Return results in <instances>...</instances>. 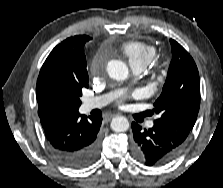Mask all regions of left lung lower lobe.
<instances>
[{"instance_id":"obj_1","label":"left lung lower lobe","mask_w":223,"mask_h":188,"mask_svg":"<svg viewBox=\"0 0 223 188\" xmlns=\"http://www.w3.org/2000/svg\"><path fill=\"white\" fill-rule=\"evenodd\" d=\"M133 154L146 166L164 165L175 159L182 145L163 127L154 124L148 130L142 129L136 122L132 123Z\"/></svg>"}]
</instances>
